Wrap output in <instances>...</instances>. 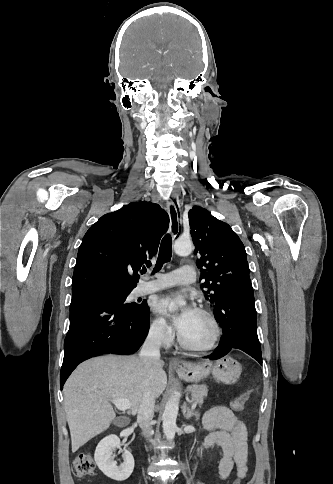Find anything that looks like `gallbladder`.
<instances>
[{
  "instance_id": "obj_1",
  "label": "gallbladder",
  "mask_w": 333,
  "mask_h": 484,
  "mask_svg": "<svg viewBox=\"0 0 333 484\" xmlns=\"http://www.w3.org/2000/svg\"><path fill=\"white\" fill-rule=\"evenodd\" d=\"M118 420H119V418H118V419H117V420L114 422V424H116V425H117V424H118Z\"/></svg>"
}]
</instances>
